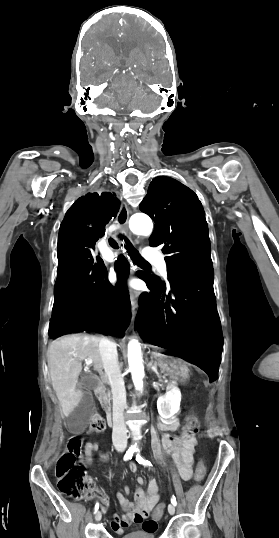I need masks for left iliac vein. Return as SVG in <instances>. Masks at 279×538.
<instances>
[{
	"label": "left iliac vein",
	"instance_id": "4c4485c4",
	"mask_svg": "<svg viewBox=\"0 0 279 538\" xmlns=\"http://www.w3.org/2000/svg\"><path fill=\"white\" fill-rule=\"evenodd\" d=\"M168 512H169V514H171V515H174V514H175V507H174L173 504H169V505H168Z\"/></svg>",
	"mask_w": 279,
	"mask_h": 538
}]
</instances>
